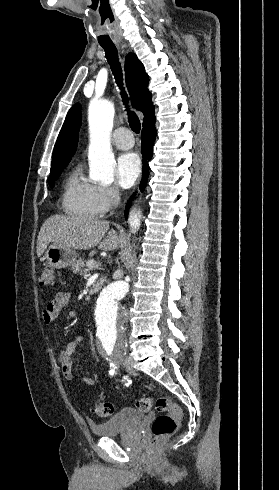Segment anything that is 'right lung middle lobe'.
Instances as JSON below:
<instances>
[{
    "label": "right lung middle lobe",
    "instance_id": "1",
    "mask_svg": "<svg viewBox=\"0 0 279 490\" xmlns=\"http://www.w3.org/2000/svg\"><path fill=\"white\" fill-rule=\"evenodd\" d=\"M65 166L56 168L54 170H51L50 176H49V185L50 187H54V181L59 177L60 173L64 169Z\"/></svg>",
    "mask_w": 279,
    "mask_h": 490
}]
</instances>
